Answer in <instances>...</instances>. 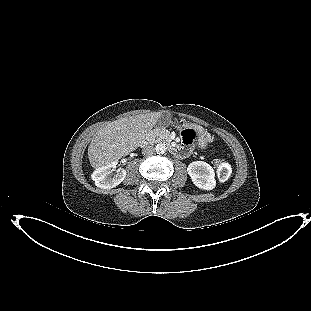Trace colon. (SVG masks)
Wrapping results in <instances>:
<instances>
[{"label":"colon","instance_id":"obj_1","mask_svg":"<svg viewBox=\"0 0 311 311\" xmlns=\"http://www.w3.org/2000/svg\"><path fill=\"white\" fill-rule=\"evenodd\" d=\"M195 134L191 130H187L183 134V139L186 143L192 142ZM217 178L220 182L227 180L231 174L230 165L227 162L221 161L216 166Z\"/></svg>","mask_w":311,"mask_h":311}]
</instances>
